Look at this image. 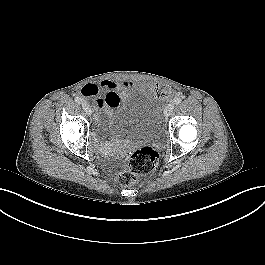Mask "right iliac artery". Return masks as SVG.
I'll return each mask as SVG.
<instances>
[{
	"instance_id": "1",
	"label": "right iliac artery",
	"mask_w": 265,
	"mask_h": 265,
	"mask_svg": "<svg viewBox=\"0 0 265 265\" xmlns=\"http://www.w3.org/2000/svg\"><path fill=\"white\" fill-rule=\"evenodd\" d=\"M75 101H76V103H78V104H82V103H83V99L80 98V97H76V98H75Z\"/></svg>"
}]
</instances>
